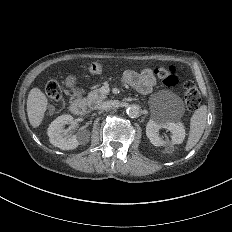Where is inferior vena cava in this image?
Listing matches in <instances>:
<instances>
[{"label": "inferior vena cava", "mask_w": 232, "mask_h": 232, "mask_svg": "<svg viewBox=\"0 0 232 232\" xmlns=\"http://www.w3.org/2000/svg\"><path fill=\"white\" fill-rule=\"evenodd\" d=\"M119 104V102L117 100H109V101H105L100 105V109L102 110H108L111 109L115 106H117Z\"/></svg>", "instance_id": "inferior-vena-cava-1"}]
</instances>
